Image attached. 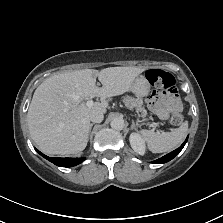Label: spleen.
<instances>
[{
  "instance_id": "spleen-1",
  "label": "spleen",
  "mask_w": 223,
  "mask_h": 223,
  "mask_svg": "<svg viewBox=\"0 0 223 223\" xmlns=\"http://www.w3.org/2000/svg\"><path fill=\"white\" fill-rule=\"evenodd\" d=\"M188 130V123H183L180 128L171 133L143 131L153 153H164L174 150L185 139Z\"/></svg>"
}]
</instances>
